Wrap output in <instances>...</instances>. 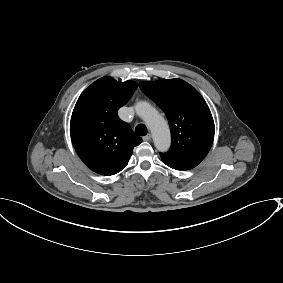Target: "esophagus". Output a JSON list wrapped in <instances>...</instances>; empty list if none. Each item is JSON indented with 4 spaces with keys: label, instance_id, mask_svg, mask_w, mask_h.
Instances as JSON below:
<instances>
[{
    "label": "esophagus",
    "instance_id": "34e87169",
    "mask_svg": "<svg viewBox=\"0 0 283 283\" xmlns=\"http://www.w3.org/2000/svg\"><path fill=\"white\" fill-rule=\"evenodd\" d=\"M152 138V135L148 133L146 136L143 137L144 141H149Z\"/></svg>",
    "mask_w": 283,
    "mask_h": 283
}]
</instances>
